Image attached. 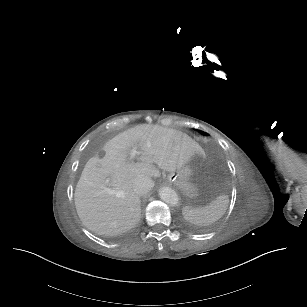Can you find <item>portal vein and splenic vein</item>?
<instances>
[{"mask_svg": "<svg viewBox=\"0 0 307 307\" xmlns=\"http://www.w3.org/2000/svg\"><path fill=\"white\" fill-rule=\"evenodd\" d=\"M141 153H142L141 151H137V147H133L130 151V159L135 158L136 155H140ZM102 189L104 192H108V193L111 192L110 188L103 187Z\"/></svg>", "mask_w": 307, "mask_h": 307, "instance_id": "obj_1", "label": "portal vein and splenic vein"}]
</instances>
